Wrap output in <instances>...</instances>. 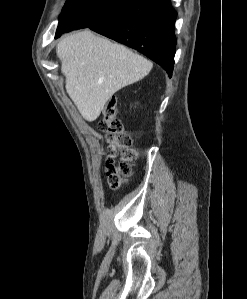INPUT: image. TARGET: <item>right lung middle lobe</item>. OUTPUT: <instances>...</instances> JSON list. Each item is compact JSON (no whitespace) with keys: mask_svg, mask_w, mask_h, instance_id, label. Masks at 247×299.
Returning <instances> with one entry per match:
<instances>
[{"mask_svg":"<svg viewBox=\"0 0 247 299\" xmlns=\"http://www.w3.org/2000/svg\"><path fill=\"white\" fill-rule=\"evenodd\" d=\"M134 0H67L59 17L56 37L64 32L92 27L123 10Z\"/></svg>","mask_w":247,"mask_h":299,"instance_id":"1","label":"right lung middle lobe"}]
</instances>
